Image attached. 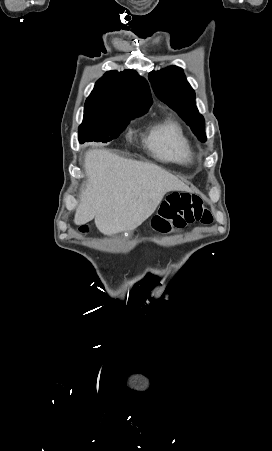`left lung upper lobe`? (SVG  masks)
Instances as JSON below:
<instances>
[{
    "label": "left lung upper lobe",
    "instance_id": "1",
    "mask_svg": "<svg viewBox=\"0 0 272 451\" xmlns=\"http://www.w3.org/2000/svg\"><path fill=\"white\" fill-rule=\"evenodd\" d=\"M149 79L156 96L174 109L194 134L205 142V121L197 110L195 92L187 82L183 70L170 66L160 71H152Z\"/></svg>",
    "mask_w": 272,
    "mask_h": 451
}]
</instances>
